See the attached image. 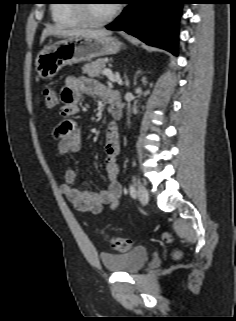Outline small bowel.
<instances>
[{
  "instance_id": "small-bowel-1",
  "label": "small bowel",
  "mask_w": 236,
  "mask_h": 321,
  "mask_svg": "<svg viewBox=\"0 0 236 321\" xmlns=\"http://www.w3.org/2000/svg\"><path fill=\"white\" fill-rule=\"evenodd\" d=\"M84 95H95L110 99L119 94L99 83L97 80L68 76L60 96L62 107L59 121L52 130L53 137L58 141V153L62 157L78 154L82 147L81 130L75 117L79 112V103ZM120 148V134L117 126L110 123L105 134L104 170L108 178V186L104 190L92 191L76 186L77 172L74 169L66 170L64 183L60 190L68 201L80 212L101 214L104 205L114 210L121 197V185L118 181L119 164L117 156Z\"/></svg>"
}]
</instances>
